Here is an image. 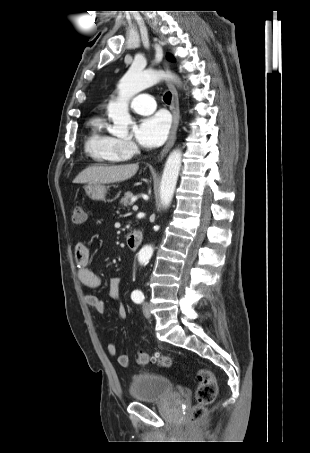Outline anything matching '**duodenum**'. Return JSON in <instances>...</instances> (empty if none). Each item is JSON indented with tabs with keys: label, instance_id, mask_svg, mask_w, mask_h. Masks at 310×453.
<instances>
[{
	"label": "duodenum",
	"instance_id": "obj_1",
	"mask_svg": "<svg viewBox=\"0 0 310 453\" xmlns=\"http://www.w3.org/2000/svg\"><path fill=\"white\" fill-rule=\"evenodd\" d=\"M143 240V234L139 230H133L127 235V245L129 249L136 250Z\"/></svg>",
	"mask_w": 310,
	"mask_h": 453
}]
</instances>
